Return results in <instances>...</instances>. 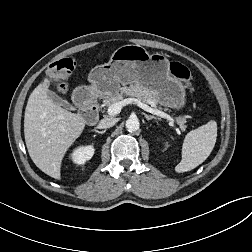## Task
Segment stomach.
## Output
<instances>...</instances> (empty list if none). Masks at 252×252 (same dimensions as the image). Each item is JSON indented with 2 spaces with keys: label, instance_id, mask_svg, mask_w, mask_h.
<instances>
[{
  "label": "stomach",
  "instance_id": "stomach-1",
  "mask_svg": "<svg viewBox=\"0 0 252 252\" xmlns=\"http://www.w3.org/2000/svg\"><path fill=\"white\" fill-rule=\"evenodd\" d=\"M88 80L90 86H79L74 92L108 98L118 94L120 85L136 83L154 91L162 106L179 110L186 103L184 85L170 75L167 57L160 53L150 54L140 45H124L116 49L108 63L91 70Z\"/></svg>",
  "mask_w": 252,
  "mask_h": 252
}]
</instances>
